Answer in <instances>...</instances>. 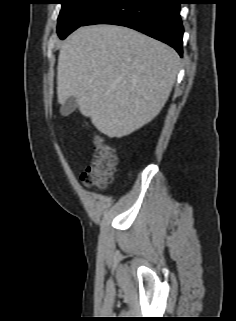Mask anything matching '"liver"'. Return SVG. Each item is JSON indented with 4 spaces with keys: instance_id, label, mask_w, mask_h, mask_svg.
Wrapping results in <instances>:
<instances>
[{
    "instance_id": "6515ba94",
    "label": "liver",
    "mask_w": 236,
    "mask_h": 321,
    "mask_svg": "<svg viewBox=\"0 0 236 321\" xmlns=\"http://www.w3.org/2000/svg\"><path fill=\"white\" fill-rule=\"evenodd\" d=\"M170 46L117 25L74 31L62 45L57 97H76L79 111L110 138H121L153 120L164 107L179 71Z\"/></svg>"
}]
</instances>
